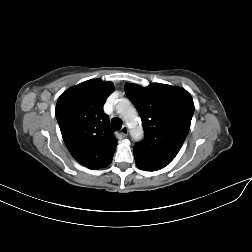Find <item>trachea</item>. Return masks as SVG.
<instances>
[{"label":"trachea","mask_w":252,"mask_h":252,"mask_svg":"<svg viewBox=\"0 0 252 252\" xmlns=\"http://www.w3.org/2000/svg\"><path fill=\"white\" fill-rule=\"evenodd\" d=\"M111 127L119 130L121 129L122 127V120L117 118V117H114L112 120H111Z\"/></svg>","instance_id":"obj_1"}]
</instances>
